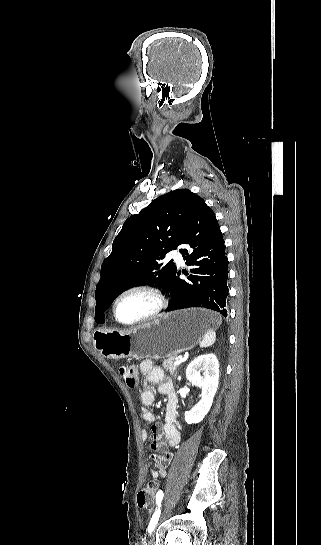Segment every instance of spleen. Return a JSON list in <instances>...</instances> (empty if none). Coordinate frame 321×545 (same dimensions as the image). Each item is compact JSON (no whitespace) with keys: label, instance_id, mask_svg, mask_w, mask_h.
Listing matches in <instances>:
<instances>
[{"label":"spleen","instance_id":"1","mask_svg":"<svg viewBox=\"0 0 321 545\" xmlns=\"http://www.w3.org/2000/svg\"><path fill=\"white\" fill-rule=\"evenodd\" d=\"M215 341L216 333L213 329H210V331H207L206 335H204L200 347H211V345H214Z\"/></svg>","mask_w":321,"mask_h":545}]
</instances>
